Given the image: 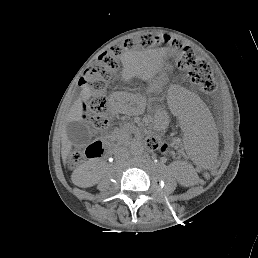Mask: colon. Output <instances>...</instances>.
I'll use <instances>...</instances> for the list:
<instances>
[{
	"instance_id": "obj_1",
	"label": "colon",
	"mask_w": 258,
	"mask_h": 258,
	"mask_svg": "<svg viewBox=\"0 0 258 258\" xmlns=\"http://www.w3.org/2000/svg\"><path fill=\"white\" fill-rule=\"evenodd\" d=\"M159 44H165L172 50L180 52V64L189 71L191 79L201 85L203 91L207 93L213 91L212 71L205 60L196 59L192 50L182 46L179 41L167 35L146 33L137 38L128 39L123 44L111 47L108 51L102 53L84 73L82 77L83 85L92 92L85 111L88 120L95 128L102 129L107 125L105 116L107 101L104 92L118 67V57L121 53L124 50L148 49ZM147 145L154 150L165 151L167 149V144L157 134H150L147 137ZM82 160L83 153L76 150L70 155L69 166L75 168Z\"/></svg>"
}]
</instances>
